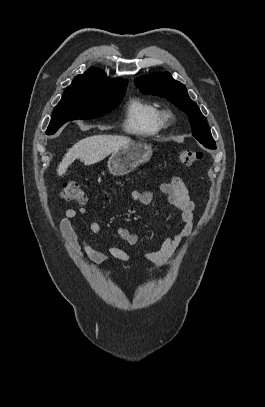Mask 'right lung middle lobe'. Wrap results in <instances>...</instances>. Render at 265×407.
Returning a JSON list of instances; mask_svg holds the SVG:
<instances>
[{
	"instance_id": "dd1d6c3e",
	"label": "right lung middle lobe",
	"mask_w": 265,
	"mask_h": 407,
	"mask_svg": "<svg viewBox=\"0 0 265 407\" xmlns=\"http://www.w3.org/2000/svg\"><path fill=\"white\" fill-rule=\"evenodd\" d=\"M127 85H104L94 82H72L54 108L46 134H54L64 123L77 119H93L116 108Z\"/></svg>"
}]
</instances>
